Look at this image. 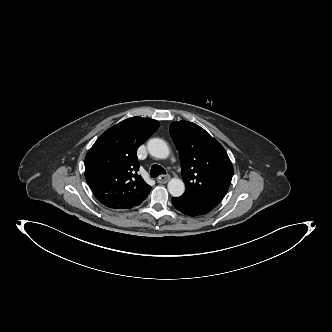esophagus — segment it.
Instances as JSON below:
<instances>
[{
    "label": "esophagus",
    "mask_w": 332,
    "mask_h": 332,
    "mask_svg": "<svg viewBox=\"0 0 332 332\" xmlns=\"http://www.w3.org/2000/svg\"><path fill=\"white\" fill-rule=\"evenodd\" d=\"M170 179V176L169 175H160L159 178H158V182L159 183H166L168 182Z\"/></svg>",
    "instance_id": "esophagus-1"
}]
</instances>
